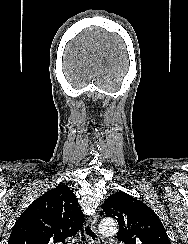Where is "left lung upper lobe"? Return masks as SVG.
Segmentation results:
<instances>
[{
    "instance_id": "5c2ea615",
    "label": "left lung upper lobe",
    "mask_w": 188,
    "mask_h": 244,
    "mask_svg": "<svg viewBox=\"0 0 188 244\" xmlns=\"http://www.w3.org/2000/svg\"><path fill=\"white\" fill-rule=\"evenodd\" d=\"M107 217L119 224L118 241L125 244H170L162 222L143 202L119 191L102 205Z\"/></svg>"
}]
</instances>
